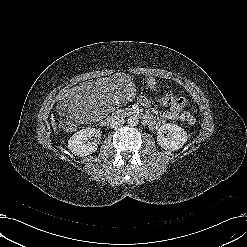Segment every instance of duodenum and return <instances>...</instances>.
<instances>
[{"instance_id":"obj_1","label":"duodenum","mask_w":247,"mask_h":247,"mask_svg":"<svg viewBox=\"0 0 247 247\" xmlns=\"http://www.w3.org/2000/svg\"><path fill=\"white\" fill-rule=\"evenodd\" d=\"M138 113H139V112H138L137 109H129V110L127 111V114H128V115H137ZM120 116H121V114L113 115V116L107 118L106 122L118 120Z\"/></svg>"}]
</instances>
